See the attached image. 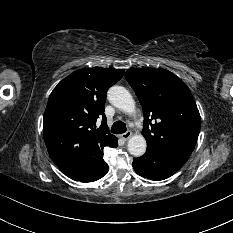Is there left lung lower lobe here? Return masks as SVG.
<instances>
[{
  "label": "left lung lower lobe",
  "instance_id": "0a47b994",
  "mask_svg": "<svg viewBox=\"0 0 233 233\" xmlns=\"http://www.w3.org/2000/svg\"><path fill=\"white\" fill-rule=\"evenodd\" d=\"M183 154L147 147L146 153L134 158L135 172L151 180H164L175 174L188 160Z\"/></svg>",
  "mask_w": 233,
  "mask_h": 233
}]
</instances>
